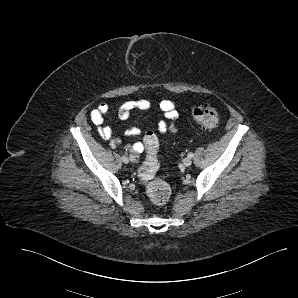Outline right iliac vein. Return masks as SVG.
I'll use <instances>...</instances> for the list:
<instances>
[{"label":"right iliac vein","instance_id":"obj_1","mask_svg":"<svg viewBox=\"0 0 298 298\" xmlns=\"http://www.w3.org/2000/svg\"><path fill=\"white\" fill-rule=\"evenodd\" d=\"M122 161L124 162V163H128L129 162V158L127 157V156H122Z\"/></svg>","mask_w":298,"mask_h":298}]
</instances>
